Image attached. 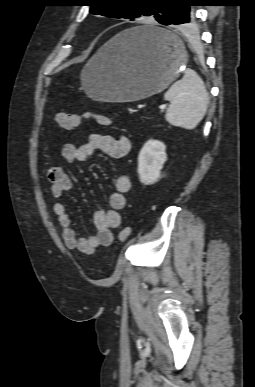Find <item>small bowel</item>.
<instances>
[{
	"instance_id": "c3829d8e",
	"label": "small bowel",
	"mask_w": 255,
	"mask_h": 387,
	"mask_svg": "<svg viewBox=\"0 0 255 387\" xmlns=\"http://www.w3.org/2000/svg\"><path fill=\"white\" fill-rule=\"evenodd\" d=\"M131 149L130 140L120 135L114 137L99 133L89 135L87 141L79 146L64 144L61 147V157L67 161H86L96 151H101L111 158L122 159ZM46 177L50 183L52 196L60 199L73 188L70 176L60 167H49ZM115 191L109 197V209L96 210L93 214V223L96 228L94 234L79 237L72 227L66 206L62 202H55L52 211L62 229V238L66 247L82 254L90 255L100 246H109L113 242V230L121 223L120 211L126 205L125 194L131 190V180L127 175H119L114 182Z\"/></svg>"
}]
</instances>
